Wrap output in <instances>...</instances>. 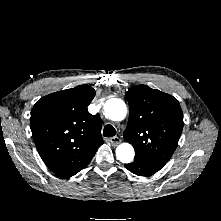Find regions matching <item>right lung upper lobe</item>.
Wrapping results in <instances>:
<instances>
[{
  "instance_id": "obj_1",
  "label": "right lung upper lobe",
  "mask_w": 221,
  "mask_h": 221,
  "mask_svg": "<svg viewBox=\"0 0 221 221\" xmlns=\"http://www.w3.org/2000/svg\"><path fill=\"white\" fill-rule=\"evenodd\" d=\"M95 90L80 85L41 98L31 111L33 139L44 163L69 178L87 166L103 144L101 118L87 107Z\"/></svg>"
}]
</instances>
